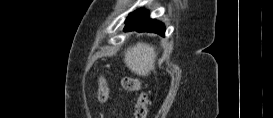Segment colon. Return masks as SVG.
Here are the masks:
<instances>
[{"mask_svg": "<svg viewBox=\"0 0 273 118\" xmlns=\"http://www.w3.org/2000/svg\"><path fill=\"white\" fill-rule=\"evenodd\" d=\"M122 88L128 92H139V95L135 102L134 118H146L148 112V97L147 94L142 90V83L138 78L135 77H123L121 80ZM108 98V86L105 78L99 79L98 85V100L101 103L107 101Z\"/></svg>", "mask_w": 273, "mask_h": 118, "instance_id": "1", "label": "colon"}]
</instances>
